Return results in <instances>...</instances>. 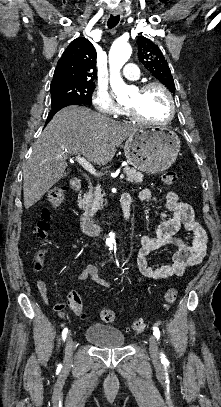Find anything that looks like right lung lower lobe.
Wrapping results in <instances>:
<instances>
[{"label":"right lung lower lobe","mask_w":221,"mask_h":407,"mask_svg":"<svg viewBox=\"0 0 221 407\" xmlns=\"http://www.w3.org/2000/svg\"><path fill=\"white\" fill-rule=\"evenodd\" d=\"M69 105H82V104L77 103V102L68 101V102H62V103H59L57 105H54V106L51 107V110H50V112L48 114L47 121L51 120L52 117L54 116V114L57 113L60 109L66 107V106H69Z\"/></svg>","instance_id":"98d812e1"}]
</instances>
